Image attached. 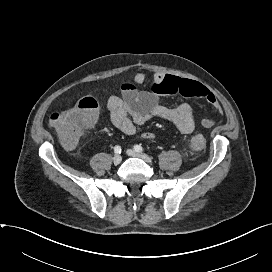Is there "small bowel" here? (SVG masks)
<instances>
[{"instance_id": "1", "label": "small bowel", "mask_w": 272, "mask_h": 272, "mask_svg": "<svg viewBox=\"0 0 272 272\" xmlns=\"http://www.w3.org/2000/svg\"><path fill=\"white\" fill-rule=\"evenodd\" d=\"M148 82L149 90L139 91L137 86ZM121 96L113 95L108 99L107 109L115 127L126 135H133L136 127L143 125L152 118H161L172 123L182 134L194 131L195 121L191 106L182 103L176 107H168L160 103V95L180 94L185 97H199L205 99L218 116L223 110L215 97L204 85L199 82L180 78L173 75L139 72L130 81L121 85ZM97 113L93 122H95ZM92 122V123H93ZM203 126L214 124L212 119H204ZM144 139H152V133H144Z\"/></svg>"}]
</instances>
